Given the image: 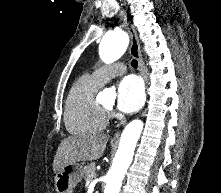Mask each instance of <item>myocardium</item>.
<instances>
[{
    "instance_id": "f54148a6",
    "label": "myocardium",
    "mask_w": 221,
    "mask_h": 193,
    "mask_svg": "<svg viewBox=\"0 0 221 193\" xmlns=\"http://www.w3.org/2000/svg\"><path fill=\"white\" fill-rule=\"evenodd\" d=\"M101 107V109L106 113V114H110L111 112V108H107L104 105H99Z\"/></svg>"
}]
</instances>
